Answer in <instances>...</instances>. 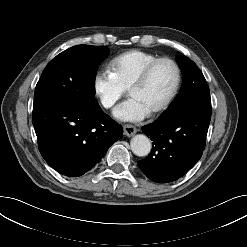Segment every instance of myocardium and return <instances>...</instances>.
<instances>
[{
  "mask_svg": "<svg viewBox=\"0 0 247 247\" xmlns=\"http://www.w3.org/2000/svg\"><path fill=\"white\" fill-rule=\"evenodd\" d=\"M160 63H169L175 71V80H174V84L170 90V92L168 93V95L164 98V100L159 103L157 106H155L152 110H150L151 113H158L162 110H164L171 102L172 100L175 98L180 84H181V70L179 65L171 58L168 57H161V58H157L155 60H153L152 62H150L147 66H145V68L140 72V74L134 79V81L131 83V85L128 88V93L130 94V92L136 88L141 87L142 85H144L150 74L152 73V71L154 70V68L159 65Z\"/></svg>",
  "mask_w": 247,
  "mask_h": 247,
  "instance_id": "1",
  "label": "myocardium"
}]
</instances>
